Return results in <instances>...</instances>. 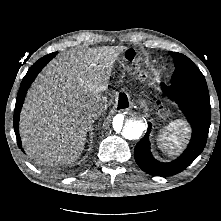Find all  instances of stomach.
Listing matches in <instances>:
<instances>
[{
    "instance_id": "0dacf381",
    "label": "stomach",
    "mask_w": 221,
    "mask_h": 221,
    "mask_svg": "<svg viewBox=\"0 0 221 221\" xmlns=\"http://www.w3.org/2000/svg\"><path fill=\"white\" fill-rule=\"evenodd\" d=\"M157 114H158L160 117H164V116H167V115H168V112H165L163 109L158 108V109H157Z\"/></svg>"
}]
</instances>
